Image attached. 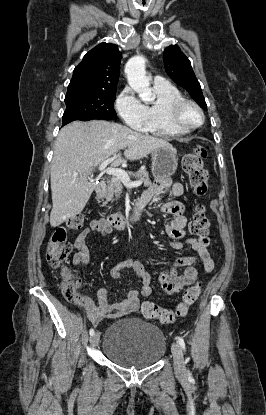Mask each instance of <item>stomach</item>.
Here are the masks:
<instances>
[{
	"instance_id": "0dacf381",
	"label": "stomach",
	"mask_w": 266,
	"mask_h": 415,
	"mask_svg": "<svg viewBox=\"0 0 266 415\" xmlns=\"http://www.w3.org/2000/svg\"><path fill=\"white\" fill-rule=\"evenodd\" d=\"M151 172L155 180L172 176L178 165L176 151L169 147H159L151 152Z\"/></svg>"
}]
</instances>
